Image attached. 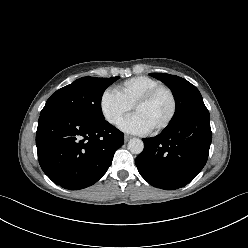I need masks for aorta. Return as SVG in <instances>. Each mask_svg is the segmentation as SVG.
<instances>
[{
    "mask_svg": "<svg viewBox=\"0 0 248 248\" xmlns=\"http://www.w3.org/2000/svg\"><path fill=\"white\" fill-rule=\"evenodd\" d=\"M128 149L133 154H140L144 149V143L141 139L133 138L128 142Z\"/></svg>",
    "mask_w": 248,
    "mask_h": 248,
    "instance_id": "762f6f07",
    "label": "aorta"
}]
</instances>
